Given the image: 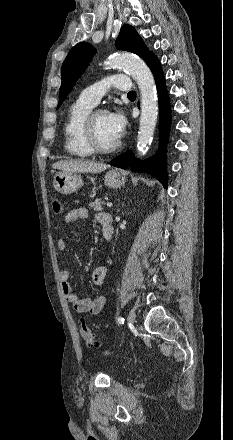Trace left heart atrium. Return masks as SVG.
Wrapping results in <instances>:
<instances>
[{"label": "left heart atrium", "mask_w": 233, "mask_h": 440, "mask_svg": "<svg viewBox=\"0 0 233 440\" xmlns=\"http://www.w3.org/2000/svg\"><path fill=\"white\" fill-rule=\"evenodd\" d=\"M108 119L114 133L118 138H120L126 126V119L124 115L119 111L111 112L108 114Z\"/></svg>", "instance_id": "1"}]
</instances>
